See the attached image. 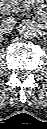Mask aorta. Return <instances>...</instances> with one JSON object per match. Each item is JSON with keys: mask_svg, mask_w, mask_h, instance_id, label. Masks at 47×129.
I'll list each match as a JSON object with an SVG mask.
<instances>
[{"mask_svg": "<svg viewBox=\"0 0 47 129\" xmlns=\"http://www.w3.org/2000/svg\"><path fill=\"white\" fill-rule=\"evenodd\" d=\"M18 33L24 38H32L36 35L37 28L30 20H25L18 25Z\"/></svg>", "mask_w": 47, "mask_h": 129, "instance_id": "obj_1", "label": "aorta"}]
</instances>
